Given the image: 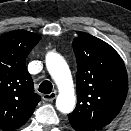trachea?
Listing matches in <instances>:
<instances>
[{"label":"trachea","mask_w":131,"mask_h":131,"mask_svg":"<svg viewBox=\"0 0 131 131\" xmlns=\"http://www.w3.org/2000/svg\"><path fill=\"white\" fill-rule=\"evenodd\" d=\"M53 85L50 81H43L39 86V92L44 94H50L52 91Z\"/></svg>","instance_id":"1"}]
</instances>
